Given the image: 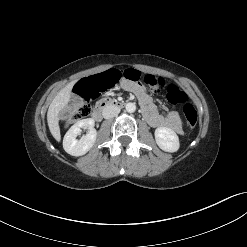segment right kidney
Wrapping results in <instances>:
<instances>
[{
	"label": "right kidney",
	"instance_id": "1",
	"mask_svg": "<svg viewBox=\"0 0 247 247\" xmlns=\"http://www.w3.org/2000/svg\"><path fill=\"white\" fill-rule=\"evenodd\" d=\"M94 123L92 118H87L79 120L71 126L63 139V148L68 154L72 156H82L91 149L97 137ZM83 127L88 128L89 132L80 139H77V136Z\"/></svg>",
	"mask_w": 247,
	"mask_h": 247
}]
</instances>
